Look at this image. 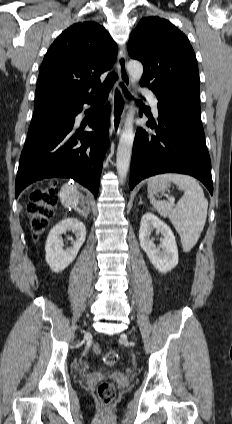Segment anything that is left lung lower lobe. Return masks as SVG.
Segmentation results:
<instances>
[{"label":"left lung lower lobe","mask_w":232,"mask_h":424,"mask_svg":"<svg viewBox=\"0 0 232 424\" xmlns=\"http://www.w3.org/2000/svg\"><path fill=\"white\" fill-rule=\"evenodd\" d=\"M156 97L159 123H147L156 135L143 128L136 131L130 189L144 178L174 172L196 177L212 195L211 162L201 123L200 99L188 95Z\"/></svg>","instance_id":"left-lung-lower-lobe-1"}]
</instances>
